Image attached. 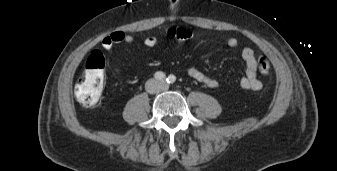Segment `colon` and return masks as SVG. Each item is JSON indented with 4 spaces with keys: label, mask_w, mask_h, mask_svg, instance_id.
<instances>
[{
    "label": "colon",
    "mask_w": 337,
    "mask_h": 171,
    "mask_svg": "<svg viewBox=\"0 0 337 171\" xmlns=\"http://www.w3.org/2000/svg\"><path fill=\"white\" fill-rule=\"evenodd\" d=\"M168 33L180 41L191 36L190 32L183 28H171ZM256 64L260 73L269 72L270 63L263 55L257 58ZM104 71L105 58L100 51L95 50L87 58L83 75L75 85V96L81 105L95 107L99 104L105 80Z\"/></svg>",
    "instance_id": "obj_1"
}]
</instances>
